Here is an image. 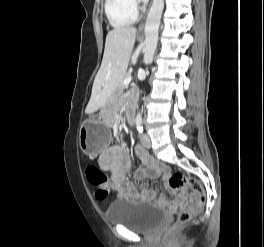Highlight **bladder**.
<instances>
[{
	"label": "bladder",
	"mask_w": 264,
	"mask_h": 247,
	"mask_svg": "<svg viewBox=\"0 0 264 247\" xmlns=\"http://www.w3.org/2000/svg\"><path fill=\"white\" fill-rule=\"evenodd\" d=\"M106 219L111 224H122L136 232L151 233L166 222L167 214L150 203L119 200L110 204Z\"/></svg>",
	"instance_id": "31cf9c89"
}]
</instances>
